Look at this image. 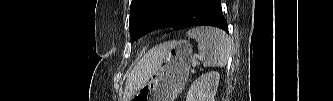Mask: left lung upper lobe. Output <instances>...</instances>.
<instances>
[{
    "label": "left lung upper lobe",
    "mask_w": 333,
    "mask_h": 101,
    "mask_svg": "<svg viewBox=\"0 0 333 101\" xmlns=\"http://www.w3.org/2000/svg\"><path fill=\"white\" fill-rule=\"evenodd\" d=\"M183 18L181 0H132L130 7V36L132 41L152 29L174 28Z\"/></svg>",
    "instance_id": "left-lung-upper-lobe-1"
}]
</instances>
